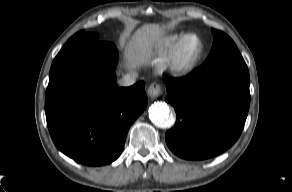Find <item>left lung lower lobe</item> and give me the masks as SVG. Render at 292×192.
Segmentation results:
<instances>
[{
  "label": "left lung lower lobe",
  "instance_id": "left-lung-lower-lobe-1",
  "mask_svg": "<svg viewBox=\"0 0 292 192\" xmlns=\"http://www.w3.org/2000/svg\"><path fill=\"white\" fill-rule=\"evenodd\" d=\"M176 123L166 132L178 157L203 160L230 148L244 127L249 104V72L243 59L204 64L182 78L164 77Z\"/></svg>",
  "mask_w": 292,
  "mask_h": 192
}]
</instances>
